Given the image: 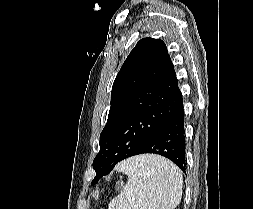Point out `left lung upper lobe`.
Segmentation results:
<instances>
[{"instance_id":"1","label":"left lung upper lobe","mask_w":253,"mask_h":209,"mask_svg":"<svg viewBox=\"0 0 253 209\" xmlns=\"http://www.w3.org/2000/svg\"><path fill=\"white\" fill-rule=\"evenodd\" d=\"M180 93L165 43L148 37L138 41L113 83L93 181L146 143L174 111Z\"/></svg>"}]
</instances>
